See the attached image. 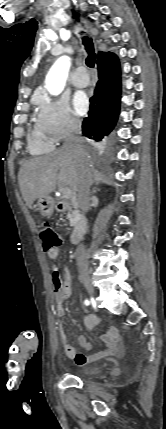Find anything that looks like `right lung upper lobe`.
<instances>
[{"mask_svg": "<svg viewBox=\"0 0 166 429\" xmlns=\"http://www.w3.org/2000/svg\"><path fill=\"white\" fill-rule=\"evenodd\" d=\"M106 54L110 55L111 53H110V52H108V53L99 52V53H98V58H99V57H103V56H104V55H106Z\"/></svg>", "mask_w": 166, "mask_h": 429, "instance_id": "right-lung-upper-lobe-1", "label": "right lung upper lobe"}]
</instances>
